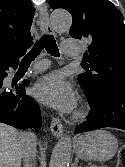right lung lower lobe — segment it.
<instances>
[{
    "label": "right lung lower lobe",
    "mask_w": 125,
    "mask_h": 167,
    "mask_svg": "<svg viewBox=\"0 0 125 167\" xmlns=\"http://www.w3.org/2000/svg\"><path fill=\"white\" fill-rule=\"evenodd\" d=\"M18 58L0 66V122L22 129L33 127L35 131H38L41 127L38 104L25 95L24 86H27L29 82L24 80L22 84L14 88H7L3 85V80L7 76L6 70L9 67L17 68Z\"/></svg>",
    "instance_id": "1"
}]
</instances>
